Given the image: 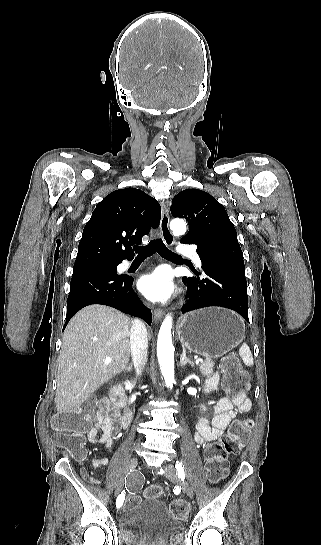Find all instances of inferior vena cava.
<instances>
[{"instance_id":"obj_1","label":"inferior vena cava","mask_w":321,"mask_h":545,"mask_svg":"<svg viewBox=\"0 0 321 545\" xmlns=\"http://www.w3.org/2000/svg\"><path fill=\"white\" fill-rule=\"evenodd\" d=\"M130 343L134 369L138 375H142L147 363L148 339L147 329L139 319L132 321Z\"/></svg>"}]
</instances>
